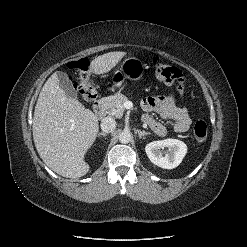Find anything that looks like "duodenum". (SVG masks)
Wrapping results in <instances>:
<instances>
[{
    "label": "duodenum",
    "mask_w": 247,
    "mask_h": 247,
    "mask_svg": "<svg viewBox=\"0 0 247 247\" xmlns=\"http://www.w3.org/2000/svg\"><path fill=\"white\" fill-rule=\"evenodd\" d=\"M94 113L97 117H103L105 113V99L103 97H99L95 100L93 105Z\"/></svg>",
    "instance_id": "obj_1"
}]
</instances>
